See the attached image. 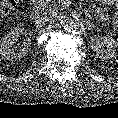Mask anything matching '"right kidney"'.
<instances>
[{"label": "right kidney", "instance_id": "obj_1", "mask_svg": "<svg viewBox=\"0 0 118 118\" xmlns=\"http://www.w3.org/2000/svg\"><path fill=\"white\" fill-rule=\"evenodd\" d=\"M24 32L23 28H15L10 30L4 37L0 40V55L7 60H18L25 56L31 45L30 39L26 38L24 43L19 49L12 48L17 38L21 33Z\"/></svg>", "mask_w": 118, "mask_h": 118}]
</instances>
